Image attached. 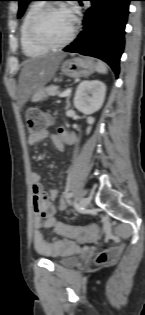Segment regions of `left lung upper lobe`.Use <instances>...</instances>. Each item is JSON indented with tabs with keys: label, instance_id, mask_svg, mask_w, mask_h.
Masks as SVG:
<instances>
[{
	"label": "left lung upper lobe",
	"instance_id": "5c2ea615",
	"mask_svg": "<svg viewBox=\"0 0 145 315\" xmlns=\"http://www.w3.org/2000/svg\"><path fill=\"white\" fill-rule=\"evenodd\" d=\"M17 1H19L18 18H20L22 14L24 13L28 3L33 0H17Z\"/></svg>",
	"mask_w": 145,
	"mask_h": 315
}]
</instances>
